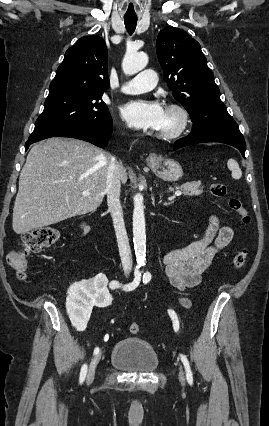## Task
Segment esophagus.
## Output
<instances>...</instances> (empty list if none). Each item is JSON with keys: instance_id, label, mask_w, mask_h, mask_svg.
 <instances>
[{"instance_id": "1", "label": "esophagus", "mask_w": 269, "mask_h": 426, "mask_svg": "<svg viewBox=\"0 0 269 426\" xmlns=\"http://www.w3.org/2000/svg\"><path fill=\"white\" fill-rule=\"evenodd\" d=\"M158 160V156L156 153H150L147 157L148 164H155Z\"/></svg>"}]
</instances>
